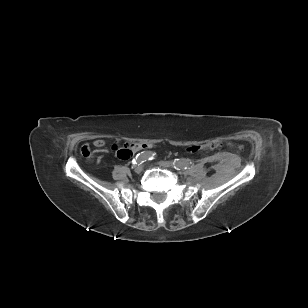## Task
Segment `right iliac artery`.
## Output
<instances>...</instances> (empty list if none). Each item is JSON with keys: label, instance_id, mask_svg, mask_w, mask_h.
<instances>
[{"label": "right iliac artery", "instance_id": "right-iliac-artery-1", "mask_svg": "<svg viewBox=\"0 0 308 308\" xmlns=\"http://www.w3.org/2000/svg\"><path fill=\"white\" fill-rule=\"evenodd\" d=\"M155 153L152 151H143L136 155V157L133 159V164H142L146 161L152 160L155 157Z\"/></svg>", "mask_w": 308, "mask_h": 308}]
</instances>
